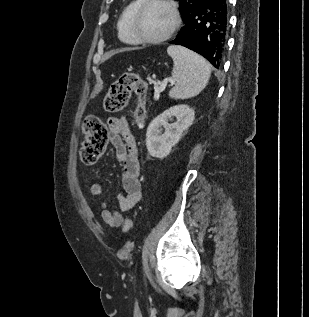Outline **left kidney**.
<instances>
[{
  "label": "left kidney",
  "mask_w": 309,
  "mask_h": 317,
  "mask_svg": "<svg viewBox=\"0 0 309 317\" xmlns=\"http://www.w3.org/2000/svg\"><path fill=\"white\" fill-rule=\"evenodd\" d=\"M194 111L187 105H176L170 107L152 120L147 128L146 147L152 157L164 158L169 155L194 121ZM173 117L176 122L168 123ZM162 127L165 128L162 133Z\"/></svg>",
  "instance_id": "1"
}]
</instances>
